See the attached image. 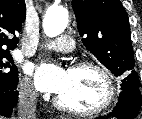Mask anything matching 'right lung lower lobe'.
<instances>
[{
	"label": "right lung lower lobe",
	"instance_id": "right-lung-lower-lobe-1",
	"mask_svg": "<svg viewBox=\"0 0 142 119\" xmlns=\"http://www.w3.org/2000/svg\"><path fill=\"white\" fill-rule=\"evenodd\" d=\"M17 88V87H16ZM0 89V115L10 117L18 101V91Z\"/></svg>",
	"mask_w": 142,
	"mask_h": 119
}]
</instances>
